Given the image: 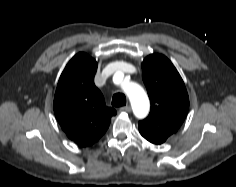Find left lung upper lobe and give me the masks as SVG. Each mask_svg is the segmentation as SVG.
<instances>
[{"label":"left lung upper lobe","instance_id":"left-lung-upper-lobe-1","mask_svg":"<svg viewBox=\"0 0 236 187\" xmlns=\"http://www.w3.org/2000/svg\"><path fill=\"white\" fill-rule=\"evenodd\" d=\"M142 78L151 110L146 119L139 121V132L149 142L162 144L185 120L188 93L174 65L161 54H151L144 59Z\"/></svg>","mask_w":236,"mask_h":187}]
</instances>
